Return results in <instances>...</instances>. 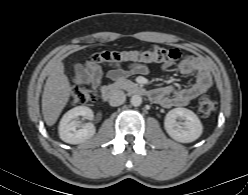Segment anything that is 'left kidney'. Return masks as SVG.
I'll use <instances>...</instances> for the list:
<instances>
[{
    "label": "left kidney",
    "instance_id": "obj_1",
    "mask_svg": "<svg viewBox=\"0 0 248 195\" xmlns=\"http://www.w3.org/2000/svg\"><path fill=\"white\" fill-rule=\"evenodd\" d=\"M164 127L171 138L181 143L193 142L203 132L200 119L187 108L170 110L165 117Z\"/></svg>",
    "mask_w": 248,
    "mask_h": 195
}]
</instances>
